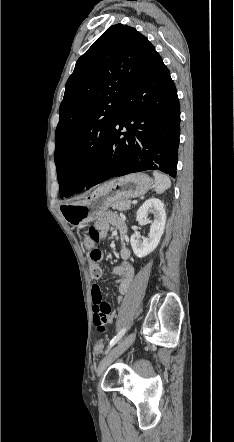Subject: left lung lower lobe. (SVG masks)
<instances>
[{"mask_svg":"<svg viewBox=\"0 0 234 442\" xmlns=\"http://www.w3.org/2000/svg\"><path fill=\"white\" fill-rule=\"evenodd\" d=\"M179 135L176 88L155 51L125 93L104 153L86 189L112 177L150 169L175 177Z\"/></svg>","mask_w":234,"mask_h":442,"instance_id":"0a47b994","label":"left lung lower lobe"}]
</instances>
